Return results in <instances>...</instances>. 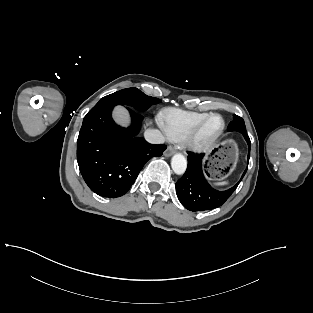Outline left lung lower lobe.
Wrapping results in <instances>:
<instances>
[{
  "label": "left lung lower lobe",
  "instance_id": "1",
  "mask_svg": "<svg viewBox=\"0 0 313 313\" xmlns=\"http://www.w3.org/2000/svg\"><path fill=\"white\" fill-rule=\"evenodd\" d=\"M249 147L247 160L250 158V139L246 132L242 133ZM203 154H190L188 156V167L184 175L176 183V194L181 204L190 211H205L223 205L232 195L240 181L226 191L213 189L204 177L202 167ZM243 173V176L245 175ZM242 176V178H243Z\"/></svg>",
  "mask_w": 313,
  "mask_h": 313
}]
</instances>
